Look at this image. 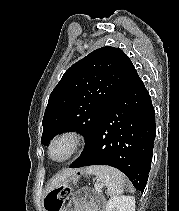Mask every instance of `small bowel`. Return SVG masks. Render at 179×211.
<instances>
[{"mask_svg":"<svg viewBox=\"0 0 179 211\" xmlns=\"http://www.w3.org/2000/svg\"><path fill=\"white\" fill-rule=\"evenodd\" d=\"M65 211H104V200L92 189L84 188L74 194Z\"/></svg>","mask_w":179,"mask_h":211,"instance_id":"1","label":"small bowel"}]
</instances>
